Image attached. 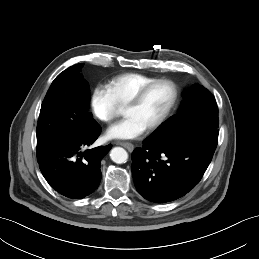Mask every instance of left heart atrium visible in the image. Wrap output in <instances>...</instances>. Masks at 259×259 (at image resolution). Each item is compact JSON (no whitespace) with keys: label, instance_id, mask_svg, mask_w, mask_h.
Returning <instances> with one entry per match:
<instances>
[{"label":"left heart atrium","instance_id":"1","mask_svg":"<svg viewBox=\"0 0 259 259\" xmlns=\"http://www.w3.org/2000/svg\"><path fill=\"white\" fill-rule=\"evenodd\" d=\"M145 130L146 128L134 117L126 116L108 128L107 136L112 139H133L142 135Z\"/></svg>","mask_w":259,"mask_h":259}]
</instances>
